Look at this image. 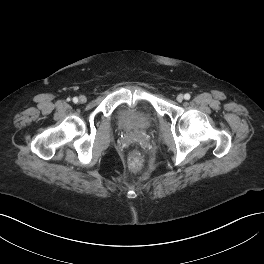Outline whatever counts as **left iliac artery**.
I'll use <instances>...</instances> for the list:
<instances>
[{
    "label": "left iliac artery",
    "mask_w": 264,
    "mask_h": 264,
    "mask_svg": "<svg viewBox=\"0 0 264 264\" xmlns=\"http://www.w3.org/2000/svg\"><path fill=\"white\" fill-rule=\"evenodd\" d=\"M190 94H188V93H186L185 95H184V98L186 99V100H189L190 99Z\"/></svg>",
    "instance_id": "1"
}]
</instances>
